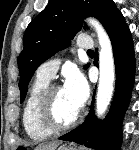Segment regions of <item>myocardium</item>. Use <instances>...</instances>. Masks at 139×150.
I'll return each mask as SVG.
<instances>
[{
    "instance_id": "f54148a6",
    "label": "myocardium",
    "mask_w": 139,
    "mask_h": 150,
    "mask_svg": "<svg viewBox=\"0 0 139 150\" xmlns=\"http://www.w3.org/2000/svg\"><path fill=\"white\" fill-rule=\"evenodd\" d=\"M61 88L62 87L57 84L48 85V87L43 92L38 104L37 109L38 121L44 129L51 131L52 133L66 131L75 127L83 117V110L80 109L77 115L74 117V119L69 123L60 124L55 121L52 115L53 96L55 92Z\"/></svg>"
}]
</instances>
